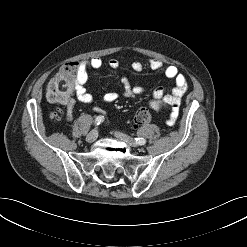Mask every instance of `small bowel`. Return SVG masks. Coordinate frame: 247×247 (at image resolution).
Segmentation results:
<instances>
[{
  "instance_id": "c3829d8e",
  "label": "small bowel",
  "mask_w": 247,
  "mask_h": 247,
  "mask_svg": "<svg viewBox=\"0 0 247 247\" xmlns=\"http://www.w3.org/2000/svg\"><path fill=\"white\" fill-rule=\"evenodd\" d=\"M77 64V85L75 88L76 98L86 104H92L94 101V94L86 86L89 71L98 70L103 66V60L100 57H93L89 60H81ZM119 60L111 59L109 61V66L112 69H117L119 67ZM148 67L151 70H163L164 75L175 81V86L170 92H166L162 88H155L151 92V100L149 106L151 109L159 111L162 109H168L170 115L168 118V123H173L177 117L181 99L188 88V83L186 76L179 70L175 65L163 66V63L158 59H150L148 62ZM145 65L142 62L136 61L132 64V69L135 72H142ZM118 85L122 87L121 94L126 98H133L145 91V88L139 86H131L126 78H120L118 80ZM119 92L117 90L110 91L106 93L103 97L104 102L113 103L117 100ZM65 106V118L67 121H72L74 116V105L75 100L70 99L63 103ZM96 112L105 114V112L99 108L94 107Z\"/></svg>"
}]
</instances>
